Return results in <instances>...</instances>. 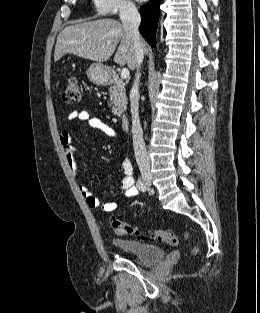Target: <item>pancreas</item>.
<instances>
[{
    "instance_id": "cf45deb5",
    "label": "pancreas",
    "mask_w": 260,
    "mask_h": 313,
    "mask_svg": "<svg viewBox=\"0 0 260 313\" xmlns=\"http://www.w3.org/2000/svg\"><path fill=\"white\" fill-rule=\"evenodd\" d=\"M108 92L110 95L109 106H112V112L117 116H121L127 105L125 83L122 80H115Z\"/></svg>"
}]
</instances>
